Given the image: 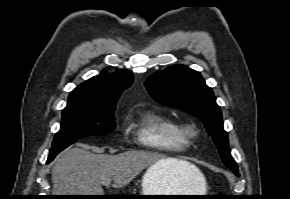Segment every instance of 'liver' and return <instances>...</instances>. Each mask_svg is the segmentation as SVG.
<instances>
[{
  "label": "liver",
  "mask_w": 290,
  "mask_h": 199,
  "mask_svg": "<svg viewBox=\"0 0 290 199\" xmlns=\"http://www.w3.org/2000/svg\"><path fill=\"white\" fill-rule=\"evenodd\" d=\"M155 164L177 175L181 184L178 193L192 190V182L200 170L185 160L131 150L118 155L95 154L74 147L58 155L52 169L53 195H103L102 183L113 180L114 188L128 185L142 170Z\"/></svg>",
  "instance_id": "liver-1"
}]
</instances>
